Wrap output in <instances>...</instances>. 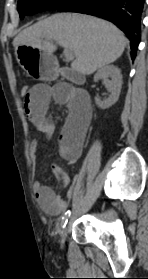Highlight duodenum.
Here are the masks:
<instances>
[{"instance_id":"1","label":"duodenum","mask_w":148,"mask_h":279,"mask_svg":"<svg viewBox=\"0 0 148 279\" xmlns=\"http://www.w3.org/2000/svg\"><path fill=\"white\" fill-rule=\"evenodd\" d=\"M59 74H60V76L66 78L70 82L77 83V82H81L83 80V76L80 73L73 71L72 69H70L68 67H61Z\"/></svg>"}]
</instances>
